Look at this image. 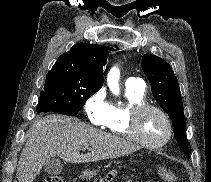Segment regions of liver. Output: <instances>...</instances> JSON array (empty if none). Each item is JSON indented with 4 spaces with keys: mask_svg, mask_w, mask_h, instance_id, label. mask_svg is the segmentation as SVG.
Returning <instances> with one entry per match:
<instances>
[{
    "mask_svg": "<svg viewBox=\"0 0 211 182\" xmlns=\"http://www.w3.org/2000/svg\"><path fill=\"white\" fill-rule=\"evenodd\" d=\"M91 152L80 154L82 147ZM139 147L93 128L77 118L57 114L37 120L31 127L17 165L19 182H33L46 161L55 156L69 163H88L130 154Z\"/></svg>",
    "mask_w": 211,
    "mask_h": 182,
    "instance_id": "liver-1",
    "label": "liver"
}]
</instances>
